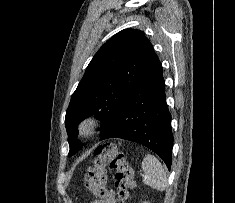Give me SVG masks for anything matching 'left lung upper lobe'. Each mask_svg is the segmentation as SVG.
Instances as JSON below:
<instances>
[{"label":"left lung upper lobe","mask_w":235,"mask_h":203,"mask_svg":"<svg viewBox=\"0 0 235 203\" xmlns=\"http://www.w3.org/2000/svg\"><path fill=\"white\" fill-rule=\"evenodd\" d=\"M156 54L144 33L124 29L111 37L95 54L71 97L65 125L70 151L74 155L83 145L76 140L78 124L96 114L103 119L101 134L120 112L140 82Z\"/></svg>","instance_id":"1"}]
</instances>
